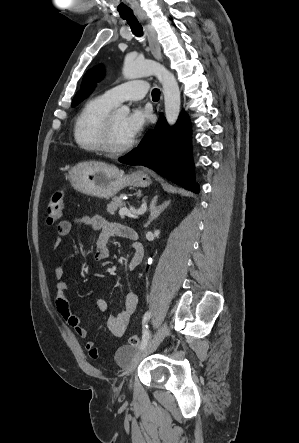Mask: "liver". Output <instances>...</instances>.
Returning <instances> with one entry per match:
<instances>
[{"mask_svg": "<svg viewBox=\"0 0 299 443\" xmlns=\"http://www.w3.org/2000/svg\"><path fill=\"white\" fill-rule=\"evenodd\" d=\"M94 164H102V163H99V162H93Z\"/></svg>", "mask_w": 299, "mask_h": 443, "instance_id": "liver-1", "label": "liver"}]
</instances>
